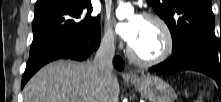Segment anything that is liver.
Instances as JSON below:
<instances>
[{"instance_id":"1","label":"liver","mask_w":221,"mask_h":102,"mask_svg":"<svg viewBox=\"0 0 221 102\" xmlns=\"http://www.w3.org/2000/svg\"><path fill=\"white\" fill-rule=\"evenodd\" d=\"M24 102H118L119 83L112 70L69 60L41 68L23 89Z\"/></svg>"}]
</instances>
